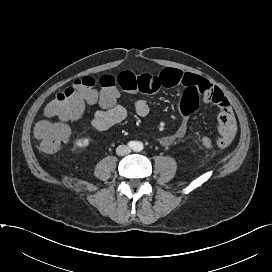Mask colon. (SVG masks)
I'll return each instance as SVG.
<instances>
[{"label":"colon","mask_w":272,"mask_h":272,"mask_svg":"<svg viewBox=\"0 0 272 272\" xmlns=\"http://www.w3.org/2000/svg\"><path fill=\"white\" fill-rule=\"evenodd\" d=\"M118 98L117 80L111 75H103L98 80L89 76L74 80L45 107L47 117H57L61 121L43 120L35 126L34 133L40 140L42 150L54 153L60 148L70 135L66 121L82 115L87 104L98 103L103 108H110L117 103ZM201 144L205 148H211L214 142L205 136L201 139Z\"/></svg>","instance_id":"obj_1"}]
</instances>
